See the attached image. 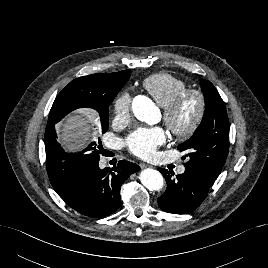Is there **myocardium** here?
<instances>
[{
    "mask_svg": "<svg viewBox=\"0 0 268 268\" xmlns=\"http://www.w3.org/2000/svg\"><path fill=\"white\" fill-rule=\"evenodd\" d=\"M188 97H195L197 100V109L192 120L185 127L178 124L177 116L179 110ZM207 111V101L205 94L195 88L184 89L179 92L173 100L163 108L162 116L167 128L173 136L178 139L190 138L200 127Z\"/></svg>",
    "mask_w": 268,
    "mask_h": 268,
    "instance_id": "f54148a6",
    "label": "myocardium"
}]
</instances>
